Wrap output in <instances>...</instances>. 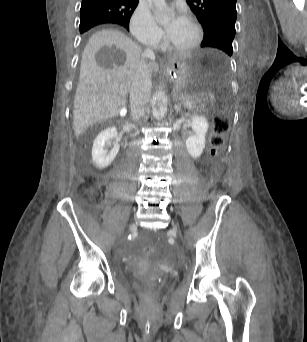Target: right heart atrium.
I'll list each match as a JSON object with an SVG mask.
<instances>
[{
  "label": "right heart atrium",
  "instance_id": "1",
  "mask_svg": "<svg viewBox=\"0 0 307 342\" xmlns=\"http://www.w3.org/2000/svg\"><path fill=\"white\" fill-rule=\"evenodd\" d=\"M129 29L138 42L154 47L158 45L160 32L147 11L136 10L130 19Z\"/></svg>",
  "mask_w": 307,
  "mask_h": 342
}]
</instances>
